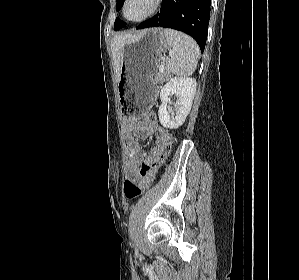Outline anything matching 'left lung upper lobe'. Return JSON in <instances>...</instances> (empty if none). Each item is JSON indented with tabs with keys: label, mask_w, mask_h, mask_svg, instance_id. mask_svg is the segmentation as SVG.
I'll return each mask as SVG.
<instances>
[{
	"label": "left lung upper lobe",
	"mask_w": 299,
	"mask_h": 280,
	"mask_svg": "<svg viewBox=\"0 0 299 280\" xmlns=\"http://www.w3.org/2000/svg\"><path fill=\"white\" fill-rule=\"evenodd\" d=\"M123 3H124V0H117V5H116L117 11H119L121 9ZM125 25H126V23L121 21L119 18H116L115 23H114V29L118 30V29L124 27Z\"/></svg>",
	"instance_id": "1"
}]
</instances>
